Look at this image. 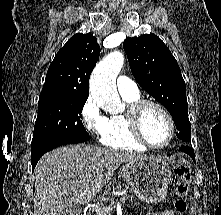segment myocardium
<instances>
[{
    "instance_id": "obj_1",
    "label": "myocardium",
    "mask_w": 221,
    "mask_h": 215,
    "mask_svg": "<svg viewBox=\"0 0 221 215\" xmlns=\"http://www.w3.org/2000/svg\"><path fill=\"white\" fill-rule=\"evenodd\" d=\"M147 106H154L158 108L165 115L169 122V137L163 145H154L150 143L142 131V114ZM126 111L132 134L138 142H140L147 148L154 150H161L170 145L175 136L176 125L173 116L162 103L153 99H138L135 102L131 103Z\"/></svg>"
}]
</instances>
